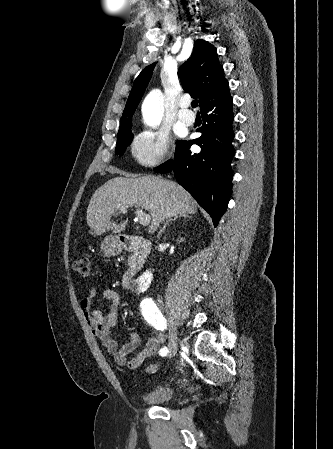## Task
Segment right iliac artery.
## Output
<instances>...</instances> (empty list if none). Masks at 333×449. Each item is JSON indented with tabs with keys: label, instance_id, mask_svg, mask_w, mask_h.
Instances as JSON below:
<instances>
[{
	"label": "right iliac artery",
	"instance_id": "right-iliac-artery-1",
	"mask_svg": "<svg viewBox=\"0 0 333 449\" xmlns=\"http://www.w3.org/2000/svg\"><path fill=\"white\" fill-rule=\"evenodd\" d=\"M140 307L143 317L149 324L160 331L166 329V320L151 298L142 300ZM167 353L168 349L166 347L159 351L161 356H165Z\"/></svg>",
	"mask_w": 333,
	"mask_h": 449
}]
</instances>
